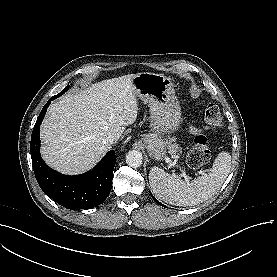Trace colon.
Returning <instances> with one entry per match:
<instances>
[{
	"label": "colon",
	"instance_id": "5ec220e1",
	"mask_svg": "<svg viewBox=\"0 0 277 277\" xmlns=\"http://www.w3.org/2000/svg\"><path fill=\"white\" fill-rule=\"evenodd\" d=\"M204 122V131L195 137L187 155V163L191 168H200L210 160L209 132L220 127L223 123L220 109L216 104H207Z\"/></svg>",
	"mask_w": 277,
	"mask_h": 277
}]
</instances>
